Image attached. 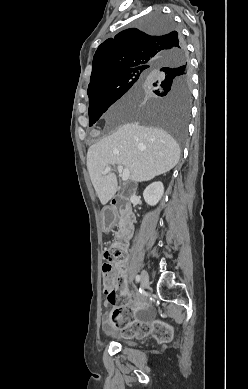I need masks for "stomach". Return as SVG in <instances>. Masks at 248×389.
Segmentation results:
<instances>
[{"label":"stomach","instance_id":"stomach-1","mask_svg":"<svg viewBox=\"0 0 248 389\" xmlns=\"http://www.w3.org/2000/svg\"><path fill=\"white\" fill-rule=\"evenodd\" d=\"M102 220L103 221V224L105 226H110L111 225V220L114 219V214L111 213V208L110 207H105L104 208V213H102Z\"/></svg>","mask_w":248,"mask_h":389}]
</instances>
